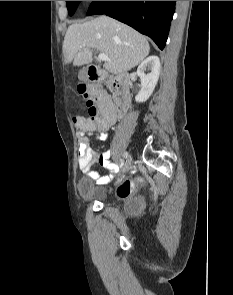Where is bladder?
Listing matches in <instances>:
<instances>
[{
	"mask_svg": "<svg viewBox=\"0 0 233 295\" xmlns=\"http://www.w3.org/2000/svg\"><path fill=\"white\" fill-rule=\"evenodd\" d=\"M77 192L84 200H97L101 199L104 191L93 180L89 178L80 179L77 184ZM142 198H135L131 201L130 206L134 210H139L143 206Z\"/></svg>",
	"mask_w": 233,
	"mask_h": 295,
	"instance_id": "obj_1",
	"label": "bladder"
}]
</instances>
